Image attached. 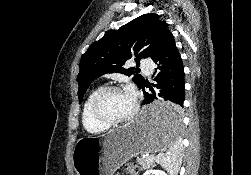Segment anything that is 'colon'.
Masks as SVG:
<instances>
[{
    "instance_id": "colon-1",
    "label": "colon",
    "mask_w": 251,
    "mask_h": 175,
    "mask_svg": "<svg viewBox=\"0 0 251 175\" xmlns=\"http://www.w3.org/2000/svg\"><path fill=\"white\" fill-rule=\"evenodd\" d=\"M127 170H128V172H129L130 174H133V175H134V174L137 172V166L134 165V164H130V165L128 166Z\"/></svg>"
}]
</instances>
